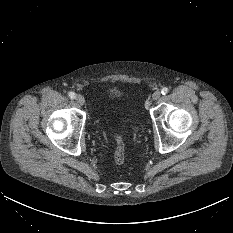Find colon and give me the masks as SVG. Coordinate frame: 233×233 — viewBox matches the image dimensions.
<instances>
[{"label":"colon","instance_id":"colon-1","mask_svg":"<svg viewBox=\"0 0 233 233\" xmlns=\"http://www.w3.org/2000/svg\"><path fill=\"white\" fill-rule=\"evenodd\" d=\"M126 159L125 143L122 138H117L114 160L117 164H123Z\"/></svg>","mask_w":233,"mask_h":233}]
</instances>
